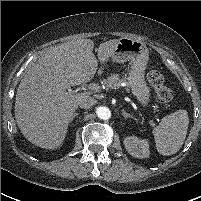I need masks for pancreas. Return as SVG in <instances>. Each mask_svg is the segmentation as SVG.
<instances>
[{
  "label": "pancreas",
  "instance_id": "pancreas-1",
  "mask_svg": "<svg viewBox=\"0 0 201 201\" xmlns=\"http://www.w3.org/2000/svg\"><path fill=\"white\" fill-rule=\"evenodd\" d=\"M123 82L124 80L121 79L117 74H112L106 80H104V84L107 89H117Z\"/></svg>",
  "mask_w": 201,
  "mask_h": 201
}]
</instances>
